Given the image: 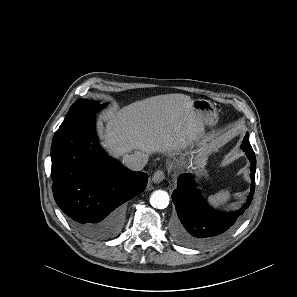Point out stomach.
I'll return each mask as SVG.
<instances>
[{"instance_id": "0dacf381", "label": "stomach", "mask_w": 297, "mask_h": 297, "mask_svg": "<svg viewBox=\"0 0 297 297\" xmlns=\"http://www.w3.org/2000/svg\"><path fill=\"white\" fill-rule=\"evenodd\" d=\"M195 112L201 117L202 121L207 125H214L218 119L216 107L206 99H195L192 101ZM205 156L198 159L195 168L201 169L204 166Z\"/></svg>"}]
</instances>
